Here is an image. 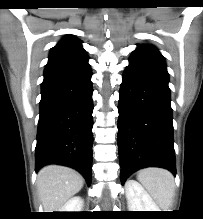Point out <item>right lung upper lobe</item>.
Here are the masks:
<instances>
[{"mask_svg":"<svg viewBox=\"0 0 203 219\" xmlns=\"http://www.w3.org/2000/svg\"><path fill=\"white\" fill-rule=\"evenodd\" d=\"M81 41L68 35L63 38L55 47L50 51L49 61L46 64H57L65 62H75L87 59V53L81 45Z\"/></svg>","mask_w":203,"mask_h":219,"instance_id":"obj_1","label":"right lung upper lobe"}]
</instances>
